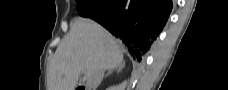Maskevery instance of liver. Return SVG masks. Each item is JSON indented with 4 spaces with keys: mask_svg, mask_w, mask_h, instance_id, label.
Segmentation results:
<instances>
[{
    "mask_svg": "<svg viewBox=\"0 0 228 90\" xmlns=\"http://www.w3.org/2000/svg\"><path fill=\"white\" fill-rule=\"evenodd\" d=\"M122 64L115 38L96 22L77 18L50 62L48 90H75L81 73L87 79L99 66L111 70Z\"/></svg>",
    "mask_w": 228,
    "mask_h": 90,
    "instance_id": "6515ba94",
    "label": "liver"
}]
</instances>
